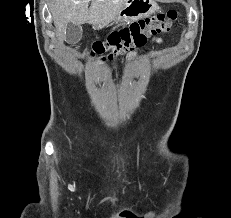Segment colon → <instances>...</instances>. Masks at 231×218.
Listing matches in <instances>:
<instances>
[{"mask_svg":"<svg viewBox=\"0 0 231 218\" xmlns=\"http://www.w3.org/2000/svg\"><path fill=\"white\" fill-rule=\"evenodd\" d=\"M177 19V12L164 13L131 23L127 27L112 32L104 41H96L88 50L92 56L112 59L122 53L142 47L147 40L160 33L169 32Z\"/></svg>","mask_w":231,"mask_h":218,"instance_id":"5ec220e1","label":"colon"}]
</instances>
